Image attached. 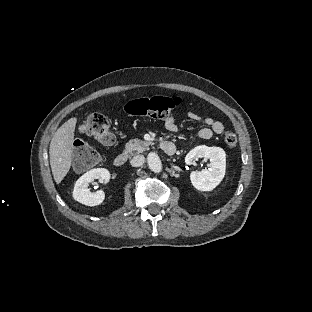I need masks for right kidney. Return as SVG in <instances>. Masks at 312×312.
<instances>
[{
    "mask_svg": "<svg viewBox=\"0 0 312 312\" xmlns=\"http://www.w3.org/2000/svg\"><path fill=\"white\" fill-rule=\"evenodd\" d=\"M109 177V173L106 169L96 168L86 172L75 182V186L72 192V198L89 207H94L102 204L106 198L103 191L99 190L93 192L88 189L90 182L99 180L101 183L106 182Z\"/></svg>",
    "mask_w": 312,
    "mask_h": 312,
    "instance_id": "ca27d5eb",
    "label": "right kidney"
}]
</instances>
